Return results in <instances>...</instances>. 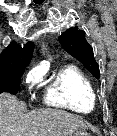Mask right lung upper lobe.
I'll use <instances>...</instances> for the list:
<instances>
[{"mask_svg":"<svg viewBox=\"0 0 117 136\" xmlns=\"http://www.w3.org/2000/svg\"><path fill=\"white\" fill-rule=\"evenodd\" d=\"M33 48V42H28L23 48L12 42L0 54V68L14 66L26 67L32 58Z\"/></svg>","mask_w":117,"mask_h":136,"instance_id":"obj_1","label":"right lung upper lobe"}]
</instances>
